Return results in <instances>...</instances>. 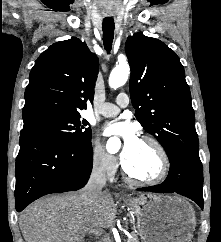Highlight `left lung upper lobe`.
<instances>
[{"label": "left lung upper lobe", "instance_id": "1", "mask_svg": "<svg viewBox=\"0 0 221 242\" xmlns=\"http://www.w3.org/2000/svg\"><path fill=\"white\" fill-rule=\"evenodd\" d=\"M129 91L135 116L165 149L169 161L183 150L199 151L189 86L179 57L158 39L128 37Z\"/></svg>", "mask_w": 221, "mask_h": 242}]
</instances>
